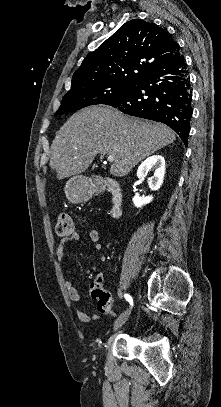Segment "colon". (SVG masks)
Instances as JSON below:
<instances>
[{"mask_svg": "<svg viewBox=\"0 0 221 407\" xmlns=\"http://www.w3.org/2000/svg\"><path fill=\"white\" fill-rule=\"evenodd\" d=\"M56 232L58 236H70L74 232V225L69 214H60L56 224ZM90 291L93 297L97 298L98 310L102 313L115 315L112 310L110 298L105 294L100 282H91Z\"/></svg>", "mask_w": 221, "mask_h": 407, "instance_id": "5ec220e1", "label": "colon"}]
</instances>
